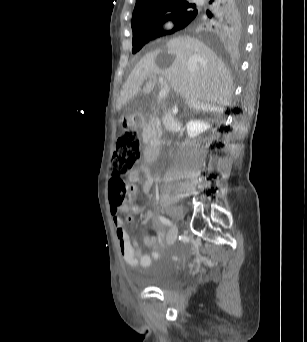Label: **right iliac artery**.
Listing matches in <instances>:
<instances>
[{
    "instance_id": "82829eb1",
    "label": "right iliac artery",
    "mask_w": 307,
    "mask_h": 342,
    "mask_svg": "<svg viewBox=\"0 0 307 342\" xmlns=\"http://www.w3.org/2000/svg\"><path fill=\"white\" fill-rule=\"evenodd\" d=\"M159 220L163 223V224H166L167 226H171L172 223L170 222L169 219L163 217V216H159Z\"/></svg>"
}]
</instances>
